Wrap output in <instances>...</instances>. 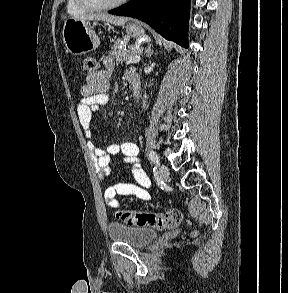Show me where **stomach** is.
<instances>
[{"mask_svg": "<svg viewBox=\"0 0 288 293\" xmlns=\"http://www.w3.org/2000/svg\"><path fill=\"white\" fill-rule=\"evenodd\" d=\"M126 32L131 37L144 35V29L135 22L126 25ZM66 50L73 55H83L98 48L100 39L90 21L69 18L65 21L62 31Z\"/></svg>", "mask_w": 288, "mask_h": 293, "instance_id": "stomach-1", "label": "stomach"}]
</instances>
